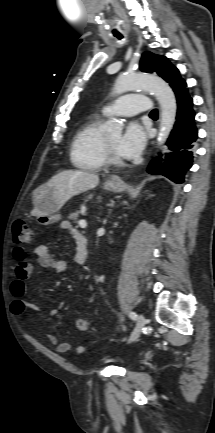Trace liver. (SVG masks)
Returning <instances> with one entry per match:
<instances>
[{"label": "liver", "instance_id": "liver-1", "mask_svg": "<svg viewBox=\"0 0 215 433\" xmlns=\"http://www.w3.org/2000/svg\"><path fill=\"white\" fill-rule=\"evenodd\" d=\"M99 184V176L80 170H64L54 175L45 186L55 191L57 202L63 206L71 197L95 188ZM37 216L38 211L33 210Z\"/></svg>", "mask_w": 215, "mask_h": 433}]
</instances>
